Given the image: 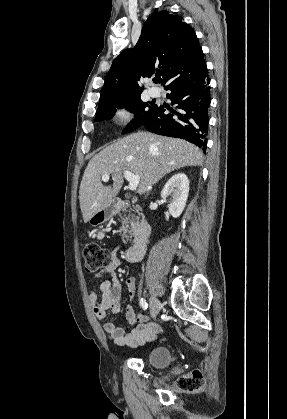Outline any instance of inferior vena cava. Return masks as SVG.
Segmentation results:
<instances>
[{
  "label": "inferior vena cava",
  "mask_w": 287,
  "mask_h": 419,
  "mask_svg": "<svg viewBox=\"0 0 287 419\" xmlns=\"http://www.w3.org/2000/svg\"><path fill=\"white\" fill-rule=\"evenodd\" d=\"M151 186H148V188H147V192H149L150 190H151Z\"/></svg>",
  "instance_id": "1"
}]
</instances>
